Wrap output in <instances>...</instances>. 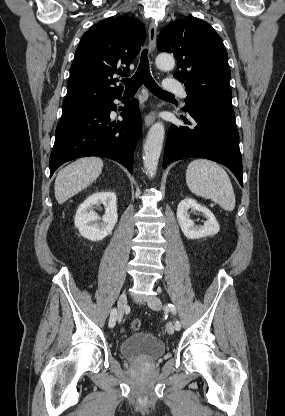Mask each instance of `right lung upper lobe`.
<instances>
[{"label":"right lung upper lobe","mask_w":285,"mask_h":416,"mask_svg":"<svg viewBox=\"0 0 285 416\" xmlns=\"http://www.w3.org/2000/svg\"><path fill=\"white\" fill-rule=\"evenodd\" d=\"M144 31V24L133 17H110L85 32L63 104H107L121 97L123 86H116L113 76L130 74L129 65L145 41Z\"/></svg>","instance_id":"1"}]
</instances>
